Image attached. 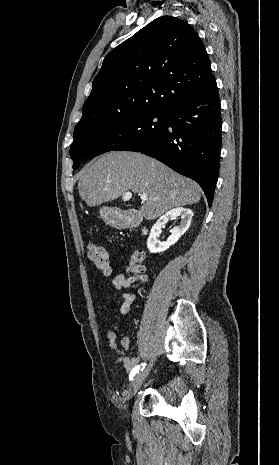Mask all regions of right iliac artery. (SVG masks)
<instances>
[{
	"label": "right iliac artery",
	"mask_w": 279,
	"mask_h": 465,
	"mask_svg": "<svg viewBox=\"0 0 279 465\" xmlns=\"http://www.w3.org/2000/svg\"><path fill=\"white\" fill-rule=\"evenodd\" d=\"M145 365H146V364L144 363V364H141V365L136 366V367L131 371V373H130V375H129V379L132 380L133 377L139 372V370H143V369H144Z\"/></svg>",
	"instance_id": "right-iliac-artery-1"
}]
</instances>
